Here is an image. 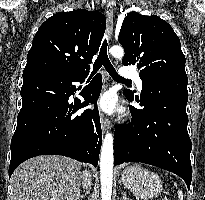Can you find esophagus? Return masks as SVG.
Returning <instances> with one entry per match:
<instances>
[{
  "mask_svg": "<svg viewBox=\"0 0 205 200\" xmlns=\"http://www.w3.org/2000/svg\"><path fill=\"white\" fill-rule=\"evenodd\" d=\"M106 15L108 20L107 35H108V40H111L113 36V30H114V20H113V7L110 3H108L106 6ZM100 123L103 132H106L110 127V122L103 114H100Z\"/></svg>",
  "mask_w": 205,
  "mask_h": 200,
  "instance_id": "34e87169",
  "label": "esophagus"
}]
</instances>
